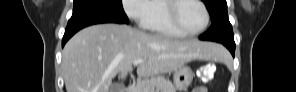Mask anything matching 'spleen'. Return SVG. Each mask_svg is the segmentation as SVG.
I'll list each match as a JSON object with an SVG mask.
<instances>
[{"label":"spleen","mask_w":296,"mask_h":92,"mask_svg":"<svg viewBox=\"0 0 296 92\" xmlns=\"http://www.w3.org/2000/svg\"><path fill=\"white\" fill-rule=\"evenodd\" d=\"M222 53H224V50H223V52ZM222 53H220L219 55H218V57L222 54Z\"/></svg>","instance_id":"spleen-1"}]
</instances>
